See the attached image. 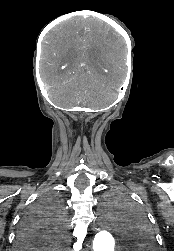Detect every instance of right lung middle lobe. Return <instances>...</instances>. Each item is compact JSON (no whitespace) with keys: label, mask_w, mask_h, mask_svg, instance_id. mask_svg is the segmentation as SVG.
<instances>
[{"label":"right lung middle lobe","mask_w":174,"mask_h":251,"mask_svg":"<svg viewBox=\"0 0 174 251\" xmlns=\"http://www.w3.org/2000/svg\"><path fill=\"white\" fill-rule=\"evenodd\" d=\"M25 219L44 220L57 231H62L65 225V214L60 196L55 192L42 195Z\"/></svg>","instance_id":"right-lung-middle-lobe-1"}]
</instances>
